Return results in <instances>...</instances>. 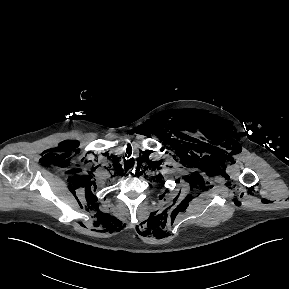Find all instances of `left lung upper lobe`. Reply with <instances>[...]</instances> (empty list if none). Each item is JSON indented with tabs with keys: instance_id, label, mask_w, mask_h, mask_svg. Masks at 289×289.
Listing matches in <instances>:
<instances>
[{
	"instance_id": "1",
	"label": "left lung upper lobe",
	"mask_w": 289,
	"mask_h": 289,
	"mask_svg": "<svg viewBox=\"0 0 289 289\" xmlns=\"http://www.w3.org/2000/svg\"><path fill=\"white\" fill-rule=\"evenodd\" d=\"M157 180L160 181V180H161V177L157 178Z\"/></svg>"
}]
</instances>
